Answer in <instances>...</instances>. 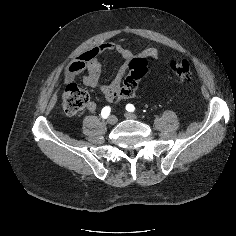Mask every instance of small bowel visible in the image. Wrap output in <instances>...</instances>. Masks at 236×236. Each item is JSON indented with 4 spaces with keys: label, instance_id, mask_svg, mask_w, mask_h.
<instances>
[{
    "label": "small bowel",
    "instance_id": "1",
    "mask_svg": "<svg viewBox=\"0 0 236 236\" xmlns=\"http://www.w3.org/2000/svg\"><path fill=\"white\" fill-rule=\"evenodd\" d=\"M104 53L117 54L123 59L122 65L117 70L114 78L109 83L101 81L102 63L100 56ZM141 57L157 60L159 51L154 47L143 49ZM134 53L125 46L113 42H103L93 48L81 53L72 63H70L63 72V80L66 83L72 82L79 74L85 72L83 76V84L87 87L98 88L109 102H115L118 99H126L132 97L135 91L125 96H120V89L123 77L128 69V64L133 58ZM87 110L94 113L97 110L95 102L90 101L87 104Z\"/></svg>",
    "mask_w": 236,
    "mask_h": 236
}]
</instances>
